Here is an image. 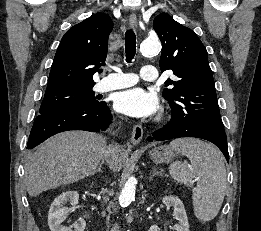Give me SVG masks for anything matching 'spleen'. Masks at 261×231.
<instances>
[{
  "label": "spleen",
  "instance_id": "obj_1",
  "mask_svg": "<svg viewBox=\"0 0 261 231\" xmlns=\"http://www.w3.org/2000/svg\"><path fill=\"white\" fill-rule=\"evenodd\" d=\"M170 146L186 155L191 168L182 162L173 163L169 172L174 180L190 186L198 176L199 184L192 190L194 214L201 221L214 219L223 203L227 187L224 157L213 145L196 138L171 141Z\"/></svg>",
  "mask_w": 261,
  "mask_h": 231
}]
</instances>
